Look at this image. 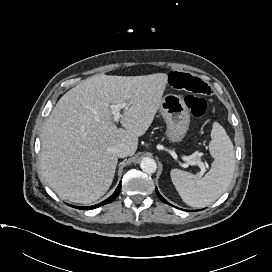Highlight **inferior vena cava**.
Segmentation results:
<instances>
[{"label": "inferior vena cava", "mask_w": 272, "mask_h": 272, "mask_svg": "<svg viewBox=\"0 0 272 272\" xmlns=\"http://www.w3.org/2000/svg\"><path fill=\"white\" fill-rule=\"evenodd\" d=\"M112 152L120 157V158H124V157H127L129 155V148L126 144L124 143H120V144H117L116 146H114L112 148Z\"/></svg>", "instance_id": "inferior-vena-cava-1"}]
</instances>
